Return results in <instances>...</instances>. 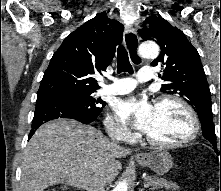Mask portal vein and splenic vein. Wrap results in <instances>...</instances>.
Returning a JSON list of instances; mask_svg holds the SVG:
<instances>
[{"label":"portal vein and splenic vein","mask_w":221,"mask_h":191,"mask_svg":"<svg viewBox=\"0 0 221 191\" xmlns=\"http://www.w3.org/2000/svg\"><path fill=\"white\" fill-rule=\"evenodd\" d=\"M149 185L148 184H144V187H148Z\"/></svg>","instance_id":"18ae733b"}]
</instances>
